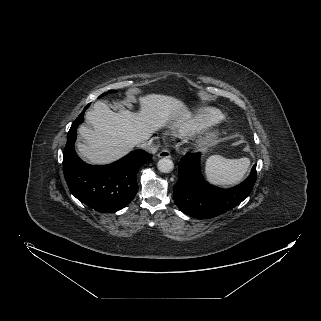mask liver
Segmentation results:
<instances>
[{
  "label": "liver",
  "instance_id": "liver-1",
  "mask_svg": "<svg viewBox=\"0 0 321 321\" xmlns=\"http://www.w3.org/2000/svg\"><path fill=\"white\" fill-rule=\"evenodd\" d=\"M137 101L138 112L121 109L118 113L97 101L86 113L93 129L84 125L78 129L84 140V143H77L79 154L92 164L111 163L148 140L152 134L190 116L187 106L172 96L145 94L138 96Z\"/></svg>",
  "mask_w": 321,
  "mask_h": 321
}]
</instances>
